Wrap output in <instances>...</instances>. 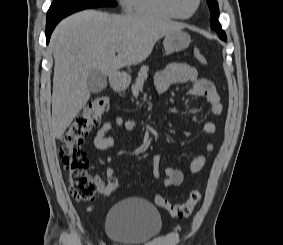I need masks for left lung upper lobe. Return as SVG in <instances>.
<instances>
[{"instance_id":"5c2ea615","label":"left lung upper lobe","mask_w":283,"mask_h":245,"mask_svg":"<svg viewBox=\"0 0 283 245\" xmlns=\"http://www.w3.org/2000/svg\"><path fill=\"white\" fill-rule=\"evenodd\" d=\"M207 3L209 5L211 12L210 25L212 29L218 33L219 38L226 41L227 38L225 32L221 29V25L218 21V17H219L218 3L216 0H207Z\"/></svg>"}]
</instances>
